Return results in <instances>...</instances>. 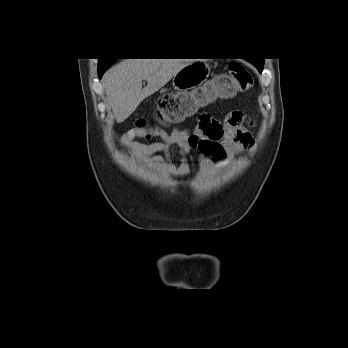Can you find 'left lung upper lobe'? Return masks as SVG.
<instances>
[{"instance_id": "1", "label": "left lung upper lobe", "mask_w": 348, "mask_h": 348, "mask_svg": "<svg viewBox=\"0 0 348 348\" xmlns=\"http://www.w3.org/2000/svg\"><path fill=\"white\" fill-rule=\"evenodd\" d=\"M251 63L254 64L257 67V69L259 70L260 73L262 72L263 65H264V60L263 59L251 61Z\"/></svg>"}]
</instances>
